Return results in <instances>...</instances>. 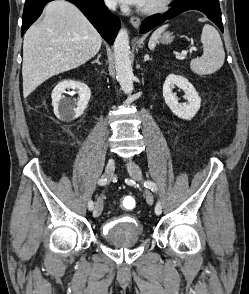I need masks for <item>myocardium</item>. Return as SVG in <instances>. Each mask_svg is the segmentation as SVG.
Segmentation results:
<instances>
[{
  "label": "myocardium",
  "mask_w": 249,
  "mask_h": 294,
  "mask_svg": "<svg viewBox=\"0 0 249 294\" xmlns=\"http://www.w3.org/2000/svg\"><path fill=\"white\" fill-rule=\"evenodd\" d=\"M171 2L172 0H161L152 6L140 8V11L145 14L159 13L161 11H164L170 5Z\"/></svg>",
  "instance_id": "1"
}]
</instances>
